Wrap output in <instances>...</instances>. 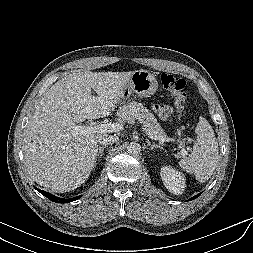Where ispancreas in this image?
Wrapping results in <instances>:
<instances>
[{
	"instance_id": "obj_1",
	"label": "pancreas",
	"mask_w": 253,
	"mask_h": 253,
	"mask_svg": "<svg viewBox=\"0 0 253 253\" xmlns=\"http://www.w3.org/2000/svg\"><path fill=\"white\" fill-rule=\"evenodd\" d=\"M118 118L119 122L122 124L126 122L132 123L138 120L148 132L166 138L164 130L161 128L154 115L141 103L131 102L123 105L118 111Z\"/></svg>"
}]
</instances>
